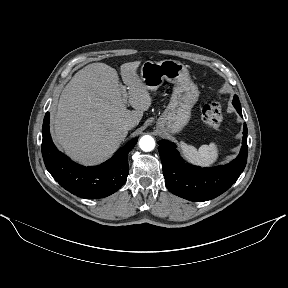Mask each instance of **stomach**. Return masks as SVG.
<instances>
[{"mask_svg": "<svg viewBox=\"0 0 288 288\" xmlns=\"http://www.w3.org/2000/svg\"><path fill=\"white\" fill-rule=\"evenodd\" d=\"M140 78L151 91L158 89L164 80L174 84L170 103L158 119L157 127L168 134L179 133L190 121L191 110L199 96L186 66L172 59L146 61L141 67Z\"/></svg>", "mask_w": 288, "mask_h": 288, "instance_id": "obj_1", "label": "stomach"}]
</instances>
